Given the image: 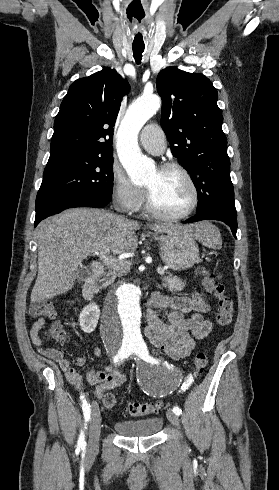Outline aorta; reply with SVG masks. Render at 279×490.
Instances as JSON below:
<instances>
[{
  "mask_svg": "<svg viewBox=\"0 0 279 490\" xmlns=\"http://www.w3.org/2000/svg\"><path fill=\"white\" fill-rule=\"evenodd\" d=\"M161 99L143 96L132 103L117 133V152L131 181L144 183L154 172V163L138 146V134L144 124L159 110ZM141 289L134 284H122L109 294L103 310L102 337L114 353L129 352L143 343Z\"/></svg>",
  "mask_w": 279,
  "mask_h": 490,
  "instance_id": "aorta-1",
  "label": "aorta"
}]
</instances>
